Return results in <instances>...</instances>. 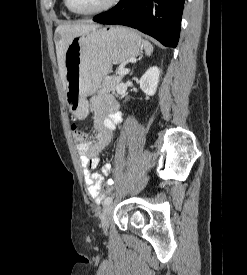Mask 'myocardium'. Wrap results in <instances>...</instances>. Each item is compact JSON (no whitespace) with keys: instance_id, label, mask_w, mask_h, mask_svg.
<instances>
[{"instance_id":"obj_1","label":"myocardium","mask_w":247,"mask_h":275,"mask_svg":"<svg viewBox=\"0 0 247 275\" xmlns=\"http://www.w3.org/2000/svg\"><path fill=\"white\" fill-rule=\"evenodd\" d=\"M118 1L119 0H109L107 3H105L104 5H102L99 8L91 10V11H85V12L77 11V10L73 9L69 4V0H64V3L66 5L67 9L70 12H72L73 14L80 15V16H91V15L100 14V13H103L105 11L112 9L118 3Z\"/></svg>"}]
</instances>
